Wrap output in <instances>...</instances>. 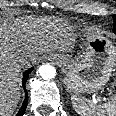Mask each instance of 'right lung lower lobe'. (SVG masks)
Segmentation results:
<instances>
[{"mask_svg":"<svg viewBox=\"0 0 116 116\" xmlns=\"http://www.w3.org/2000/svg\"><path fill=\"white\" fill-rule=\"evenodd\" d=\"M33 70V68H30L28 69L25 73H24V76H23V86L25 85L26 83V80L28 78V75L29 73ZM26 106H27V101L25 100L22 107L20 108L18 114L16 116H23V114L25 113V109H26Z\"/></svg>","mask_w":116,"mask_h":116,"instance_id":"right-lung-lower-lobe-1","label":"right lung lower lobe"}]
</instances>
